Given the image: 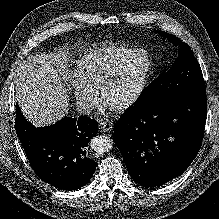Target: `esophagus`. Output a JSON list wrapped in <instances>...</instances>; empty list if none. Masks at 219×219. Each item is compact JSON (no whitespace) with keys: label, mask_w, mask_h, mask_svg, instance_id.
Returning <instances> with one entry per match:
<instances>
[{"label":"esophagus","mask_w":219,"mask_h":219,"mask_svg":"<svg viewBox=\"0 0 219 219\" xmlns=\"http://www.w3.org/2000/svg\"><path fill=\"white\" fill-rule=\"evenodd\" d=\"M100 128L104 132H110L113 129V123L110 121L100 120Z\"/></svg>","instance_id":"esophagus-1"}]
</instances>
